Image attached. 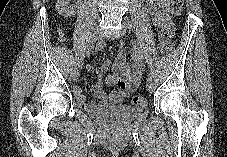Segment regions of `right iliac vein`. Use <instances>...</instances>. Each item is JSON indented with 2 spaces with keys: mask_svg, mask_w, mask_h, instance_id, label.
<instances>
[{
  "mask_svg": "<svg viewBox=\"0 0 227 157\" xmlns=\"http://www.w3.org/2000/svg\"><path fill=\"white\" fill-rule=\"evenodd\" d=\"M94 36H97V37H99V32H98V30H96V29H94L93 30V32H92V36H91V39H92V43H93V37ZM71 76H72V78H73V80H77L78 79V77H79V72H78V69L77 68H73V70L71 71Z\"/></svg>",
  "mask_w": 227,
  "mask_h": 157,
  "instance_id": "63e3f726",
  "label": "right iliac vein"
}]
</instances>
